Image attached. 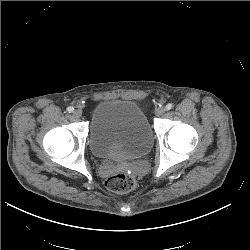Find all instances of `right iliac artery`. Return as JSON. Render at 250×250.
<instances>
[{
    "mask_svg": "<svg viewBox=\"0 0 250 250\" xmlns=\"http://www.w3.org/2000/svg\"><path fill=\"white\" fill-rule=\"evenodd\" d=\"M66 110H67V112L71 113V112H73L74 108L73 107H68Z\"/></svg>",
    "mask_w": 250,
    "mask_h": 250,
    "instance_id": "right-iliac-artery-1",
    "label": "right iliac artery"
}]
</instances>
